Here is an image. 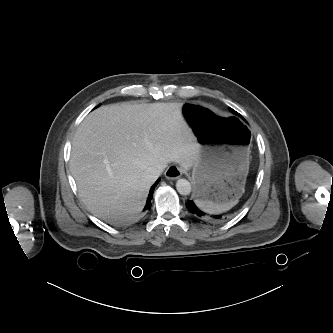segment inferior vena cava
Instances as JSON below:
<instances>
[{"mask_svg":"<svg viewBox=\"0 0 333 333\" xmlns=\"http://www.w3.org/2000/svg\"><path fill=\"white\" fill-rule=\"evenodd\" d=\"M163 170H164L163 166L149 168L146 172V177L156 180L162 174Z\"/></svg>","mask_w":333,"mask_h":333,"instance_id":"602c4592","label":"inferior vena cava"}]
</instances>
